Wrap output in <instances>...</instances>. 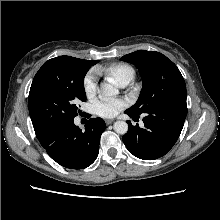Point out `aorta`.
Instances as JSON below:
<instances>
[{
    "mask_svg": "<svg viewBox=\"0 0 220 220\" xmlns=\"http://www.w3.org/2000/svg\"><path fill=\"white\" fill-rule=\"evenodd\" d=\"M101 95L103 97H112L119 93L118 89L115 88L113 85L108 83L101 84ZM114 131L118 134L124 135L128 131V124L125 121H116L113 125Z\"/></svg>",
    "mask_w": 220,
    "mask_h": 220,
    "instance_id": "762f6f07",
    "label": "aorta"
}]
</instances>
